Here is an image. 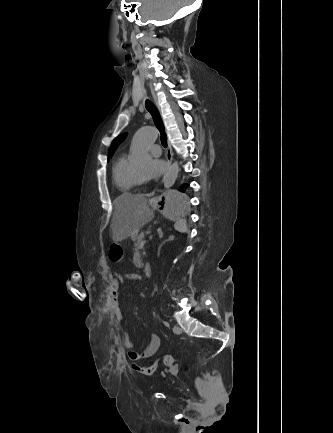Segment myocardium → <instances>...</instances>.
I'll return each instance as SVG.
<instances>
[{
    "label": "myocardium",
    "mask_w": 333,
    "mask_h": 433,
    "mask_svg": "<svg viewBox=\"0 0 333 433\" xmlns=\"http://www.w3.org/2000/svg\"><path fill=\"white\" fill-rule=\"evenodd\" d=\"M132 177H133L135 184L140 185V184L144 183L143 178H141L139 176V174L136 172V170L134 168L132 169Z\"/></svg>",
    "instance_id": "f54148a6"
}]
</instances>
